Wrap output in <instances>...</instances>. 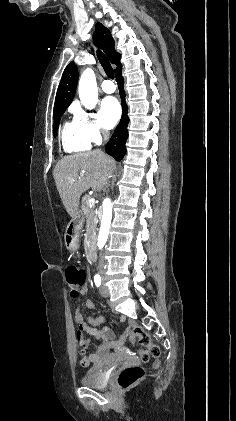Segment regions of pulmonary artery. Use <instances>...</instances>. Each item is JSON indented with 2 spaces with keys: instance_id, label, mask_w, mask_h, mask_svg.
Masks as SVG:
<instances>
[{
  "instance_id": "pulmonary-artery-1",
  "label": "pulmonary artery",
  "mask_w": 236,
  "mask_h": 421,
  "mask_svg": "<svg viewBox=\"0 0 236 421\" xmlns=\"http://www.w3.org/2000/svg\"><path fill=\"white\" fill-rule=\"evenodd\" d=\"M101 88L105 93H113L116 91V84L111 81L105 80L101 83Z\"/></svg>"
}]
</instances>
